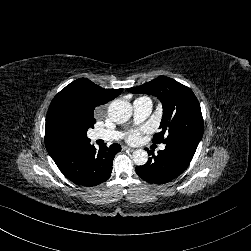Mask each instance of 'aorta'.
<instances>
[{
  "label": "aorta",
  "mask_w": 251,
  "mask_h": 251,
  "mask_svg": "<svg viewBox=\"0 0 251 251\" xmlns=\"http://www.w3.org/2000/svg\"><path fill=\"white\" fill-rule=\"evenodd\" d=\"M132 114V107L129 102L114 100L108 107V118L117 125L126 123ZM132 159L138 166H143L148 161V154L143 149L133 152Z\"/></svg>",
  "instance_id": "762f6f07"
}]
</instances>
